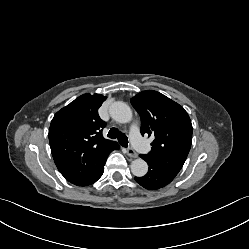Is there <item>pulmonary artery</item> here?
Returning <instances> with one entry per match:
<instances>
[{
  "instance_id": "pulmonary-artery-1",
  "label": "pulmonary artery",
  "mask_w": 249,
  "mask_h": 249,
  "mask_svg": "<svg viewBox=\"0 0 249 249\" xmlns=\"http://www.w3.org/2000/svg\"><path fill=\"white\" fill-rule=\"evenodd\" d=\"M130 140L132 145L139 151H146L148 149V143L143 138L138 127L134 126L130 130Z\"/></svg>"
}]
</instances>
